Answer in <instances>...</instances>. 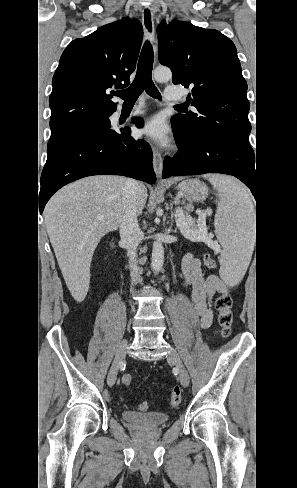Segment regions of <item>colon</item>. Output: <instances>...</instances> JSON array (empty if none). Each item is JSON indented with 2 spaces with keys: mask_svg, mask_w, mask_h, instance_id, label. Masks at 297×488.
Wrapping results in <instances>:
<instances>
[{
  "mask_svg": "<svg viewBox=\"0 0 297 488\" xmlns=\"http://www.w3.org/2000/svg\"><path fill=\"white\" fill-rule=\"evenodd\" d=\"M204 266L208 270H215L217 268L216 261L210 257L206 256L204 258ZM216 309L218 311V324L223 337H228L231 333V326L233 322L232 314V299L228 295H221L216 301ZM124 380V384L128 385L132 377L129 371L124 370L121 373ZM181 401V391L178 387H175L171 393L170 405L172 408H176ZM140 411H147L149 409V403L143 402L139 405Z\"/></svg>",
  "mask_w": 297,
  "mask_h": 488,
  "instance_id": "obj_1",
  "label": "colon"
}]
</instances>
